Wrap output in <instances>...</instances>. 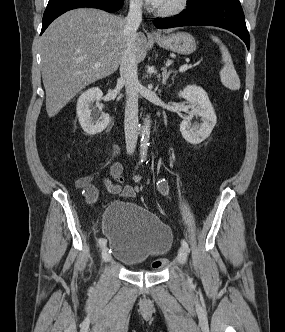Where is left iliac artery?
I'll return each mask as SVG.
<instances>
[{"label": "left iliac artery", "instance_id": "left-iliac-artery-1", "mask_svg": "<svg viewBox=\"0 0 285 332\" xmlns=\"http://www.w3.org/2000/svg\"><path fill=\"white\" fill-rule=\"evenodd\" d=\"M181 244H182V247L186 250V252L190 251L188 243L184 239L181 240Z\"/></svg>", "mask_w": 285, "mask_h": 332}]
</instances>
